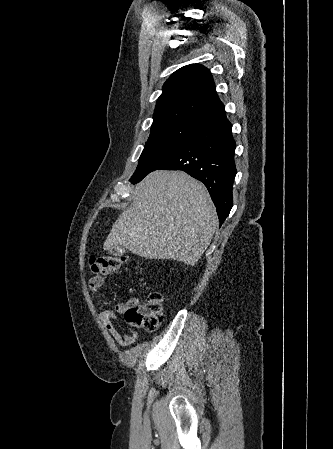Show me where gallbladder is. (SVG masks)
<instances>
[{
  "label": "gallbladder",
  "mask_w": 333,
  "mask_h": 449,
  "mask_svg": "<svg viewBox=\"0 0 333 449\" xmlns=\"http://www.w3.org/2000/svg\"><path fill=\"white\" fill-rule=\"evenodd\" d=\"M124 252H126V249H124V248H113V249L109 250V253L111 255H116V256H120Z\"/></svg>",
  "instance_id": "bac80fb5"
}]
</instances>
